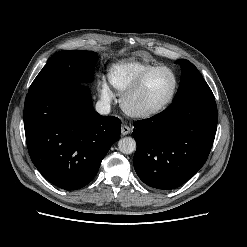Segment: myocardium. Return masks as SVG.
<instances>
[{"label": "myocardium", "instance_id": "1", "mask_svg": "<svg viewBox=\"0 0 247 247\" xmlns=\"http://www.w3.org/2000/svg\"><path fill=\"white\" fill-rule=\"evenodd\" d=\"M159 70L168 71L173 77V89L169 95V97L160 105L153 108H137L133 105V99L142 87L143 83L147 79V77ZM179 88V81L176 73L168 66L165 65H157L153 66L143 73H141L138 78L130 85V87L123 93L121 98V105L123 110L132 117L137 118H150L156 116L163 111H165L174 101L176 94Z\"/></svg>", "mask_w": 247, "mask_h": 247}]
</instances>
